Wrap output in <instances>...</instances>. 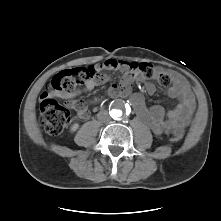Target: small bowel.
Wrapping results in <instances>:
<instances>
[{"label": "small bowel", "instance_id": "1", "mask_svg": "<svg viewBox=\"0 0 221 221\" xmlns=\"http://www.w3.org/2000/svg\"><path fill=\"white\" fill-rule=\"evenodd\" d=\"M96 77L85 82L81 89H74L70 92H64L58 96L68 100L66 106L77 112L78 116L87 119L90 116L87 103L77 100L76 97L82 92H90L95 87L109 81L106 71H120L123 77L119 85H113L110 94L114 90H119L116 96H129L132 106L137 112L138 117L150 128L153 134L160 136L171 131H179L182 135L185 128L190 123L195 107V98L189 86L184 80L178 79L177 82L167 89V94L178 100L174 109L165 111L160 105L147 107L144 97L139 93H132V84L135 79L139 78L138 73H132L130 63L124 60L108 59L105 62L96 65ZM146 91L149 94L156 92V87L152 83L146 84ZM98 102V100H95Z\"/></svg>", "mask_w": 221, "mask_h": 221}]
</instances>
